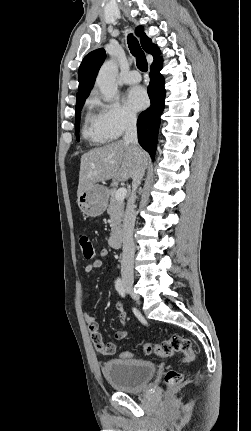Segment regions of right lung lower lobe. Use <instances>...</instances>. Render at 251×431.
<instances>
[{"instance_id":"right-lung-lower-lobe-1","label":"right lung lower lobe","mask_w":251,"mask_h":431,"mask_svg":"<svg viewBox=\"0 0 251 431\" xmlns=\"http://www.w3.org/2000/svg\"><path fill=\"white\" fill-rule=\"evenodd\" d=\"M161 69L162 59L154 61L151 65L148 87L151 106L143 111L137 120L138 141L152 159L156 150L160 116L164 110L165 89Z\"/></svg>"}]
</instances>
